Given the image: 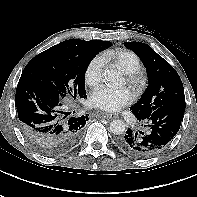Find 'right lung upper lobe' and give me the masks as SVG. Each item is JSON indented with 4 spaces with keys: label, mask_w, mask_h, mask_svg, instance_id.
Listing matches in <instances>:
<instances>
[{
    "label": "right lung upper lobe",
    "mask_w": 197,
    "mask_h": 197,
    "mask_svg": "<svg viewBox=\"0 0 197 197\" xmlns=\"http://www.w3.org/2000/svg\"><path fill=\"white\" fill-rule=\"evenodd\" d=\"M84 42H86V41L80 40V39H70V40H66L64 42H61L59 45L65 47V48H68V49H77Z\"/></svg>",
    "instance_id": "obj_1"
}]
</instances>
